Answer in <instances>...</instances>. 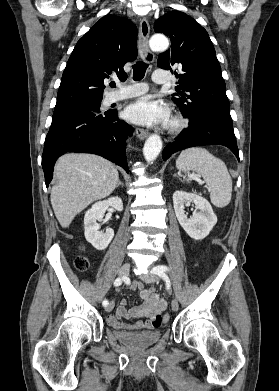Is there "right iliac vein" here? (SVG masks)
<instances>
[{
    "label": "right iliac vein",
    "mask_w": 279,
    "mask_h": 391,
    "mask_svg": "<svg viewBox=\"0 0 279 391\" xmlns=\"http://www.w3.org/2000/svg\"><path fill=\"white\" fill-rule=\"evenodd\" d=\"M129 270H130V264L129 263L123 264L119 270V277L125 278L128 275ZM113 307H114V302L111 301L109 305L106 306L105 311L110 312L113 309Z\"/></svg>",
    "instance_id": "right-iliac-vein-1"
}]
</instances>
